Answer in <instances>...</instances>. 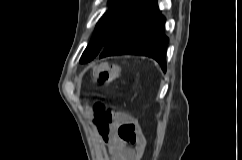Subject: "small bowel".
Listing matches in <instances>:
<instances>
[{
    "label": "small bowel",
    "mask_w": 242,
    "mask_h": 160,
    "mask_svg": "<svg viewBox=\"0 0 242 160\" xmlns=\"http://www.w3.org/2000/svg\"><path fill=\"white\" fill-rule=\"evenodd\" d=\"M135 127L134 140L128 141L122 135L125 125ZM99 129V128H98ZM99 132L108 146L112 160H139L146 148V139L132 118L124 113H117L108 127Z\"/></svg>",
    "instance_id": "small-bowel-1"
}]
</instances>
